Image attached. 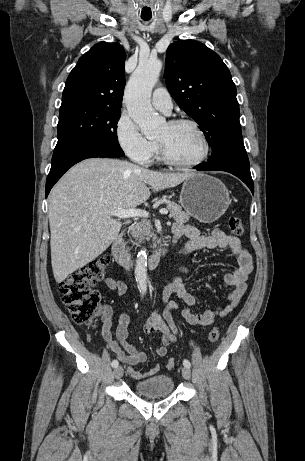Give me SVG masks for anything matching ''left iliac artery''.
<instances>
[{"label":"left iliac artery","mask_w":305,"mask_h":461,"mask_svg":"<svg viewBox=\"0 0 305 461\" xmlns=\"http://www.w3.org/2000/svg\"><path fill=\"white\" fill-rule=\"evenodd\" d=\"M183 365H184V367H188V368L191 367V363H190L189 360H187V359H185V360L183 361Z\"/></svg>","instance_id":"44dca946"}]
</instances>
